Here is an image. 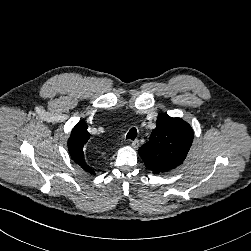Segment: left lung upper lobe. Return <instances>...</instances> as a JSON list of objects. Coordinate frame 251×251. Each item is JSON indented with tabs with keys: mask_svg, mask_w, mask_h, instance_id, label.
<instances>
[{
	"mask_svg": "<svg viewBox=\"0 0 251 251\" xmlns=\"http://www.w3.org/2000/svg\"><path fill=\"white\" fill-rule=\"evenodd\" d=\"M149 141L138 153L154 173L168 172L184 161L193 141V130L181 118L160 113Z\"/></svg>",
	"mask_w": 251,
	"mask_h": 251,
	"instance_id": "left-lung-upper-lobe-1",
	"label": "left lung upper lobe"
}]
</instances>
